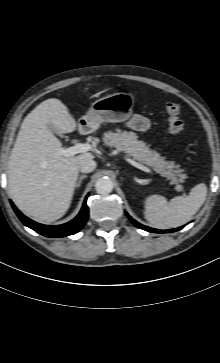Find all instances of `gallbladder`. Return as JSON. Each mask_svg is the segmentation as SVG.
Instances as JSON below:
<instances>
[{
    "label": "gallbladder",
    "instance_id": "bac80fb5",
    "mask_svg": "<svg viewBox=\"0 0 220 363\" xmlns=\"http://www.w3.org/2000/svg\"><path fill=\"white\" fill-rule=\"evenodd\" d=\"M51 130H52V132L54 133V134H61L57 129H55V128H51Z\"/></svg>",
    "mask_w": 220,
    "mask_h": 363
}]
</instances>
